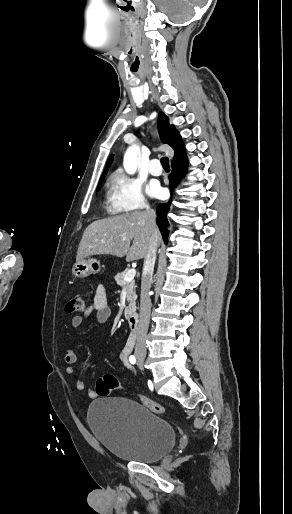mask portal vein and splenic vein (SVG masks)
<instances>
[{"label":"portal vein and splenic vein","instance_id":"18ae733b","mask_svg":"<svg viewBox=\"0 0 292 514\" xmlns=\"http://www.w3.org/2000/svg\"><path fill=\"white\" fill-rule=\"evenodd\" d=\"M135 274H136V270H134V268H131V270H128V272L124 278L125 282H131V280H133Z\"/></svg>","mask_w":292,"mask_h":514}]
</instances>
